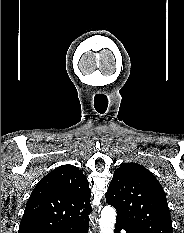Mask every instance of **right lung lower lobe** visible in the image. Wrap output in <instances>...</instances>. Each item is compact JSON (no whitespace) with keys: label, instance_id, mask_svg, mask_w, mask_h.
I'll list each match as a JSON object with an SVG mask.
<instances>
[{"label":"right lung lower lobe","instance_id":"right-lung-lower-lobe-1","mask_svg":"<svg viewBox=\"0 0 184 233\" xmlns=\"http://www.w3.org/2000/svg\"><path fill=\"white\" fill-rule=\"evenodd\" d=\"M89 227L88 218L58 229H51L43 233H87Z\"/></svg>","mask_w":184,"mask_h":233}]
</instances>
